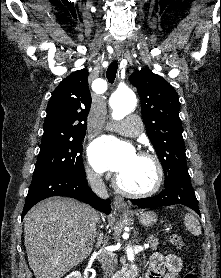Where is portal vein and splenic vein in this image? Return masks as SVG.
Wrapping results in <instances>:
<instances>
[{"label":"portal vein and splenic vein","mask_w":221,"mask_h":278,"mask_svg":"<svg viewBox=\"0 0 221 278\" xmlns=\"http://www.w3.org/2000/svg\"><path fill=\"white\" fill-rule=\"evenodd\" d=\"M144 247H145V248H148V247H149V244H145Z\"/></svg>","instance_id":"1"}]
</instances>
